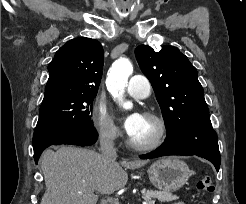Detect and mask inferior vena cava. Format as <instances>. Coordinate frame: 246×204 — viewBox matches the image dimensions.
<instances>
[{
    "label": "inferior vena cava",
    "instance_id": "602c4592",
    "mask_svg": "<svg viewBox=\"0 0 246 204\" xmlns=\"http://www.w3.org/2000/svg\"><path fill=\"white\" fill-rule=\"evenodd\" d=\"M100 151L102 157L107 161H114L117 157L113 139L107 134L100 139Z\"/></svg>",
    "mask_w": 246,
    "mask_h": 204
}]
</instances>
